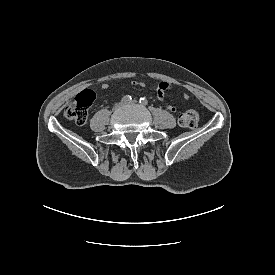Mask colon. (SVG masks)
Returning a JSON list of instances; mask_svg holds the SVG:
<instances>
[{
  "instance_id": "colon-1",
  "label": "colon",
  "mask_w": 275,
  "mask_h": 275,
  "mask_svg": "<svg viewBox=\"0 0 275 275\" xmlns=\"http://www.w3.org/2000/svg\"><path fill=\"white\" fill-rule=\"evenodd\" d=\"M95 100V92L91 89L83 90L76 99L66 106L64 116L77 125H84L88 117V109ZM199 113L196 110H188L179 117L180 125L193 128L197 125Z\"/></svg>"
}]
</instances>
